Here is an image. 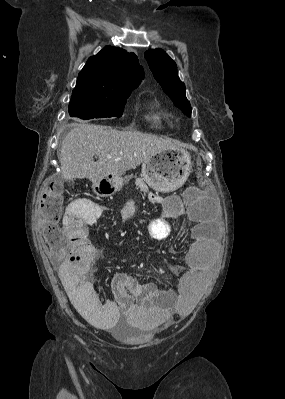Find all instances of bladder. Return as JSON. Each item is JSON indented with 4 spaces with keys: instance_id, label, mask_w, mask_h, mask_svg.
Instances as JSON below:
<instances>
[{
    "instance_id": "bladder-1",
    "label": "bladder",
    "mask_w": 285,
    "mask_h": 399,
    "mask_svg": "<svg viewBox=\"0 0 285 399\" xmlns=\"http://www.w3.org/2000/svg\"><path fill=\"white\" fill-rule=\"evenodd\" d=\"M110 331L113 334L118 335L116 329H111ZM125 334L133 336V338L127 340L129 343H142L143 335H144L143 333H140V332H135V333L134 332H127Z\"/></svg>"
}]
</instances>
